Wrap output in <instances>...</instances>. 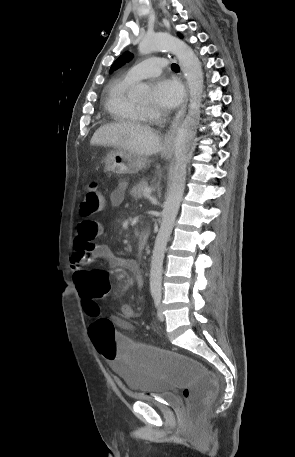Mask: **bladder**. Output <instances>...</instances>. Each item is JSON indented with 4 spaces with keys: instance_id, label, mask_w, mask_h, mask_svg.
<instances>
[{
    "instance_id": "obj_1",
    "label": "bladder",
    "mask_w": 295,
    "mask_h": 457,
    "mask_svg": "<svg viewBox=\"0 0 295 457\" xmlns=\"http://www.w3.org/2000/svg\"><path fill=\"white\" fill-rule=\"evenodd\" d=\"M112 369L122 387L134 397L158 407L159 411H180L177 396L167 390L166 379L159 374H141L138 366H120L119 362L113 363Z\"/></svg>"
}]
</instances>
